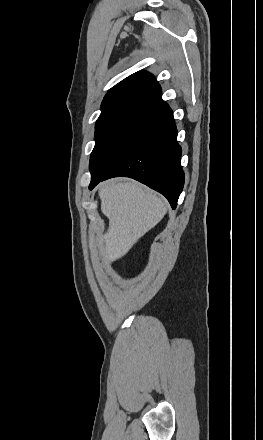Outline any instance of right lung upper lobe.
Here are the masks:
<instances>
[{"label": "right lung upper lobe", "instance_id": "obj_1", "mask_svg": "<svg viewBox=\"0 0 263 440\" xmlns=\"http://www.w3.org/2000/svg\"><path fill=\"white\" fill-rule=\"evenodd\" d=\"M161 87L154 76L146 71L136 72L111 88L105 95L102 113L116 108L160 107Z\"/></svg>", "mask_w": 263, "mask_h": 440}]
</instances>
